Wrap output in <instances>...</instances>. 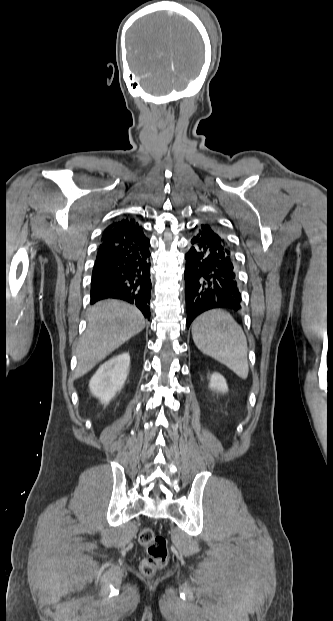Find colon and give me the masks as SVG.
Instances as JSON below:
<instances>
[{
    "label": "colon",
    "instance_id": "1",
    "mask_svg": "<svg viewBox=\"0 0 333 621\" xmlns=\"http://www.w3.org/2000/svg\"><path fill=\"white\" fill-rule=\"evenodd\" d=\"M139 542L145 547L147 554L140 563V571L151 577L167 563V540L164 536L155 534L151 528L144 527L139 532Z\"/></svg>",
    "mask_w": 333,
    "mask_h": 621
}]
</instances>
